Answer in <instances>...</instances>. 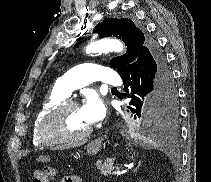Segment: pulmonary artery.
I'll return each mask as SVG.
<instances>
[{
  "label": "pulmonary artery",
  "instance_id": "1",
  "mask_svg": "<svg viewBox=\"0 0 211 182\" xmlns=\"http://www.w3.org/2000/svg\"><path fill=\"white\" fill-rule=\"evenodd\" d=\"M97 80L110 85H119L121 83L120 77L113 69L98 64L84 63L62 75L56 82L55 88L68 97L75 89Z\"/></svg>",
  "mask_w": 211,
  "mask_h": 182
}]
</instances>
